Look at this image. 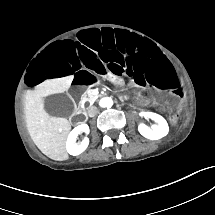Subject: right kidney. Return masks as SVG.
Instances as JSON below:
<instances>
[{"label": "right kidney", "mask_w": 215, "mask_h": 215, "mask_svg": "<svg viewBox=\"0 0 215 215\" xmlns=\"http://www.w3.org/2000/svg\"><path fill=\"white\" fill-rule=\"evenodd\" d=\"M79 127V131L77 134H74L75 128ZM73 131L70 133L68 140H67V151L71 155H79L82 153L89 144L88 134L90 132L89 126L87 124L81 123L78 126H76ZM80 133H85L86 136L82 140L80 144L76 143L77 136Z\"/></svg>", "instance_id": "obj_1"}]
</instances>
